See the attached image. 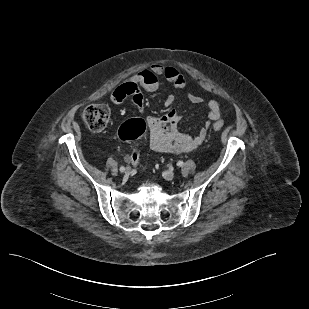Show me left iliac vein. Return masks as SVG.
Returning <instances> with one entry per match:
<instances>
[{"mask_svg":"<svg viewBox=\"0 0 309 309\" xmlns=\"http://www.w3.org/2000/svg\"><path fill=\"white\" fill-rule=\"evenodd\" d=\"M163 177L168 181H172L175 178V174L173 171L168 170L163 172Z\"/></svg>","mask_w":309,"mask_h":309,"instance_id":"obj_1","label":"left iliac vein"}]
</instances>
